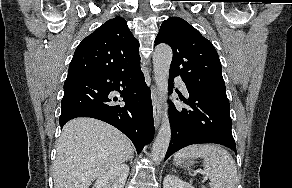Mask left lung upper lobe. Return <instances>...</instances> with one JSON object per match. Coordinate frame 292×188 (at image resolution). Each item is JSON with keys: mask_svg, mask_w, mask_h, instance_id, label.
<instances>
[{"mask_svg": "<svg viewBox=\"0 0 292 188\" xmlns=\"http://www.w3.org/2000/svg\"><path fill=\"white\" fill-rule=\"evenodd\" d=\"M167 43L173 50L170 75H180L186 86L226 96L221 63L212 43L179 17L165 20L155 44Z\"/></svg>", "mask_w": 292, "mask_h": 188, "instance_id": "1", "label": "left lung upper lobe"}]
</instances>
